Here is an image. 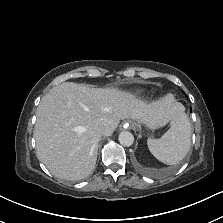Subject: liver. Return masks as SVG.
I'll list each match as a JSON object with an SVG mask.
<instances>
[{
	"mask_svg": "<svg viewBox=\"0 0 223 223\" xmlns=\"http://www.w3.org/2000/svg\"><path fill=\"white\" fill-rule=\"evenodd\" d=\"M183 109L171 94L146 103L126 91L64 82L53 87L37 108L36 155L54 176L82 179L96 165L100 139L94 130L96 125L104 126L105 136L112 135L122 119L156 129Z\"/></svg>",
	"mask_w": 223,
	"mask_h": 223,
	"instance_id": "obj_1",
	"label": "liver"
}]
</instances>
